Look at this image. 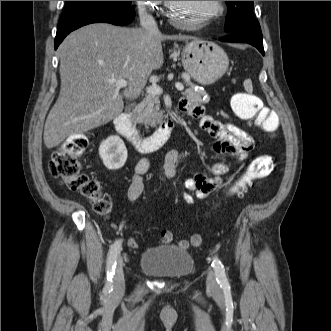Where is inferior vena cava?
I'll list each match as a JSON object with an SVG mask.
<instances>
[{"mask_svg": "<svg viewBox=\"0 0 331 331\" xmlns=\"http://www.w3.org/2000/svg\"><path fill=\"white\" fill-rule=\"evenodd\" d=\"M140 24L142 28L150 34H159L157 23L155 22L153 16H151L147 12L140 13Z\"/></svg>", "mask_w": 331, "mask_h": 331, "instance_id": "obj_1", "label": "inferior vena cava"}]
</instances>
